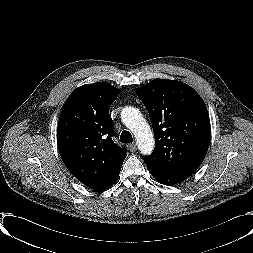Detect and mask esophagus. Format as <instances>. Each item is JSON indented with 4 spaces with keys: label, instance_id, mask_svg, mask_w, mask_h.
Segmentation results:
<instances>
[{
    "label": "esophagus",
    "instance_id": "obj_1",
    "mask_svg": "<svg viewBox=\"0 0 253 253\" xmlns=\"http://www.w3.org/2000/svg\"><path fill=\"white\" fill-rule=\"evenodd\" d=\"M128 147L131 152H135L137 150V145L135 143L130 144Z\"/></svg>",
    "mask_w": 253,
    "mask_h": 253
}]
</instances>
